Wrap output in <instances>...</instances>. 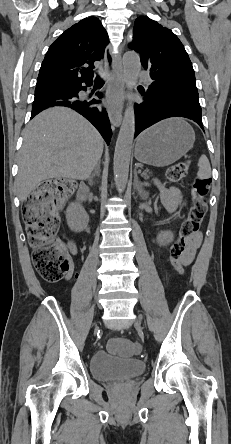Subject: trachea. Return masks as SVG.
<instances>
[{"instance_id":"trachea-1","label":"trachea","mask_w":231,"mask_h":444,"mask_svg":"<svg viewBox=\"0 0 231 444\" xmlns=\"http://www.w3.org/2000/svg\"><path fill=\"white\" fill-rule=\"evenodd\" d=\"M96 80H97V81H100V80H101L100 76H97Z\"/></svg>"}]
</instances>
